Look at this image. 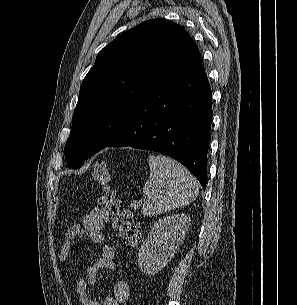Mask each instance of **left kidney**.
Segmentation results:
<instances>
[{
	"label": "left kidney",
	"instance_id": "1",
	"mask_svg": "<svg viewBox=\"0 0 297 305\" xmlns=\"http://www.w3.org/2000/svg\"><path fill=\"white\" fill-rule=\"evenodd\" d=\"M190 216L177 214L159 219L151 228L138 253V265L146 275H154L173 258L184 240Z\"/></svg>",
	"mask_w": 297,
	"mask_h": 305
}]
</instances>
